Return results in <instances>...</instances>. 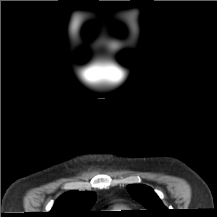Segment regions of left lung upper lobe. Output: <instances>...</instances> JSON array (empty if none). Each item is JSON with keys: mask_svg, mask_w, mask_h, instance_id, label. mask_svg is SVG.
<instances>
[{"mask_svg": "<svg viewBox=\"0 0 217 217\" xmlns=\"http://www.w3.org/2000/svg\"><path fill=\"white\" fill-rule=\"evenodd\" d=\"M127 190L136 201L147 208L145 213L150 217H163L168 213V209L152 188L142 184H133L127 186Z\"/></svg>", "mask_w": 217, "mask_h": 217, "instance_id": "5c2ea615", "label": "left lung upper lobe"}]
</instances>
